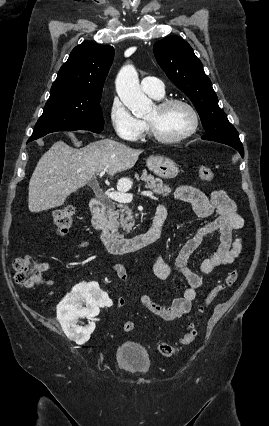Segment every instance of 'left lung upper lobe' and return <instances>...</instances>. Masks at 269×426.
Masks as SVG:
<instances>
[{
  "label": "left lung upper lobe",
  "mask_w": 269,
  "mask_h": 426,
  "mask_svg": "<svg viewBox=\"0 0 269 426\" xmlns=\"http://www.w3.org/2000/svg\"><path fill=\"white\" fill-rule=\"evenodd\" d=\"M153 51L168 78L196 107L206 131L204 138L240 141L237 130L218 106L212 83L192 47L181 37L169 36L156 42Z\"/></svg>",
  "instance_id": "1"
}]
</instances>
